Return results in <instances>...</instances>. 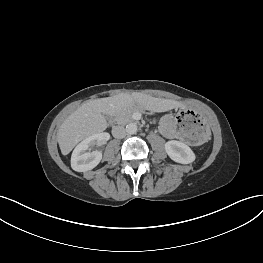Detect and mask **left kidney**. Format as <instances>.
Segmentation results:
<instances>
[{"label":"left kidney","instance_id":"5707ae66","mask_svg":"<svg viewBox=\"0 0 263 263\" xmlns=\"http://www.w3.org/2000/svg\"><path fill=\"white\" fill-rule=\"evenodd\" d=\"M165 151L175 162L181 164H190L195 160V154L185 143L177 140H171L165 143Z\"/></svg>","mask_w":263,"mask_h":263}]
</instances>
